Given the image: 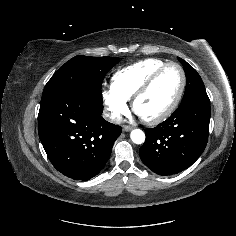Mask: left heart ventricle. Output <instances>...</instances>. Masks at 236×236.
Instances as JSON below:
<instances>
[{
    "instance_id": "b2bd125f",
    "label": "left heart ventricle",
    "mask_w": 236,
    "mask_h": 236,
    "mask_svg": "<svg viewBox=\"0 0 236 236\" xmlns=\"http://www.w3.org/2000/svg\"><path fill=\"white\" fill-rule=\"evenodd\" d=\"M181 84L176 67H169L136 103V113L143 118H154L162 113L175 99Z\"/></svg>"
}]
</instances>
